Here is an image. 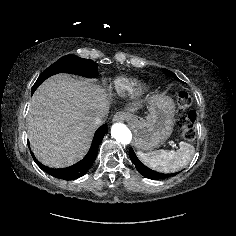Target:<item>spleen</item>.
Listing matches in <instances>:
<instances>
[{
    "mask_svg": "<svg viewBox=\"0 0 236 236\" xmlns=\"http://www.w3.org/2000/svg\"><path fill=\"white\" fill-rule=\"evenodd\" d=\"M194 153V146L181 141L177 151L157 150L150 153L138 151L137 155L151 169L162 173H170L186 166L192 159Z\"/></svg>",
    "mask_w": 236,
    "mask_h": 236,
    "instance_id": "obj_1",
    "label": "spleen"
}]
</instances>
